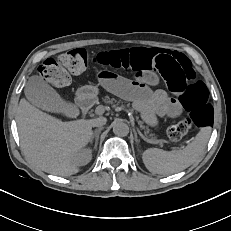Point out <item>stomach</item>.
Masks as SVG:
<instances>
[{
	"mask_svg": "<svg viewBox=\"0 0 231 231\" xmlns=\"http://www.w3.org/2000/svg\"><path fill=\"white\" fill-rule=\"evenodd\" d=\"M97 94L98 89L95 86L90 85L81 87L77 92L78 97L82 100L93 99Z\"/></svg>",
	"mask_w": 231,
	"mask_h": 231,
	"instance_id": "obj_1",
	"label": "stomach"
}]
</instances>
